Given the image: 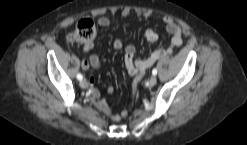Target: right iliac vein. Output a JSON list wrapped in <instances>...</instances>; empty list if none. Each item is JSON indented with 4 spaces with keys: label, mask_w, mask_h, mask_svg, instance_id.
<instances>
[{
    "label": "right iliac vein",
    "mask_w": 247,
    "mask_h": 145,
    "mask_svg": "<svg viewBox=\"0 0 247 145\" xmlns=\"http://www.w3.org/2000/svg\"><path fill=\"white\" fill-rule=\"evenodd\" d=\"M80 86H81V88L86 89L88 87L87 81L86 80H81L80 81Z\"/></svg>",
    "instance_id": "obj_1"
}]
</instances>
